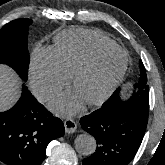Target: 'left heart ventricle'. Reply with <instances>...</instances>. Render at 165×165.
<instances>
[{
	"instance_id": "obj_1",
	"label": "left heart ventricle",
	"mask_w": 165,
	"mask_h": 165,
	"mask_svg": "<svg viewBox=\"0 0 165 165\" xmlns=\"http://www.w3.org/2000/svg\"><path fill=\"white\" fill-rule=\"evenodd\" d=\"M122 63L123 56L119 53L101 56L90 69L80 75L74 87L75 91L84 101L95 98L120 69Z\"/></svg>"
}]
</instances>
